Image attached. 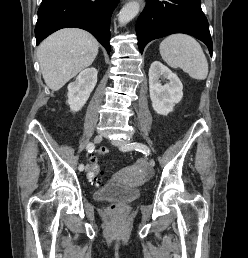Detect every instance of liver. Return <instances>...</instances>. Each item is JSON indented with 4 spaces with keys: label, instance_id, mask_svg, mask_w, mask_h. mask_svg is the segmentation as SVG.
Listing matches in <instances>:
<instances>
[{
    "label": "liver",
    "instance_id": "obj_1",
    "mask_svg": "<svg viewBox=\"0 0 248 258\" xmlns=\"http://www.w3.org/2000/svg\"><path fill=\"white\" fill-rule=\"evenodd\" d=\"M98 49V41L82 29H62L47 37L37 50L47 86L53 91L61 89L93 63Z\"/></svg>",
    "mask_w": 248,
    "mask_h": 258
}]
</instances>
